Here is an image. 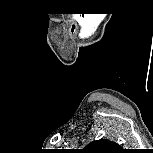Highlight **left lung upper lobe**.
<instances>
[{
  "label": "left lung upper lobe",
  "mask_w": 153,
  "mask_h": 153,
  "mask_svg": "<svg viewBox=\"0 0 153 153\" xmlns=\"http://www.w3.org/2000/svg\"><path fill=\"white\" fill-rule=\"evenodd\" d=\"M119 146L111 141L98 140L90 143L85 149L91 153H106L112 150H118Z\"/></svg>",
  "instance_id": "obj_1"
}]
</instances>
